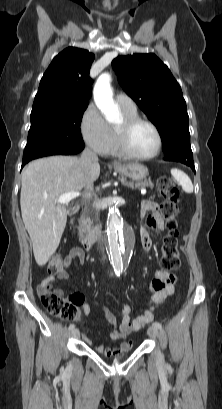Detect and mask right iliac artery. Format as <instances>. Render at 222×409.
<instances>
[{
	"mask_svg": "<svg viewBox=\"0 0 222 409\" xmlns=\"http://www.w3.org/2000/svg\"><path fill=\"white\" fill-rule=\"evenodd\" d=\"M118 275V274H117ZM75 328V325L74 324H70V326H69V330H73Z\"/></svg>",
	"mask_w": 222,
	"mask_h": 409,
	"instance_id": "1",
	"label": "right iliac artery"
}]
</instances>
